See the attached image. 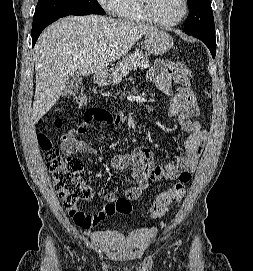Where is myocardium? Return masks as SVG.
Masks as SVG:
<instances>
[{"instance_id":"obj_1","label":"myocardium","mask_w":253,"mask_h":271,"mask_svg":"<svg viewBox=\"0 0 253 271\" xmlns=\"http://www.w3.org/2000/svg\"><path fill=\"white\" fill-rule=\"evenodd\" d=\"M142 10L145 16L148 18L149 21L163 27H173L180 24L188 15L189 12V2L188 0H183V11L181 15L173 21H163L156 17L152 10L151 0H140Z\"/></svg>"}]
</instances>
